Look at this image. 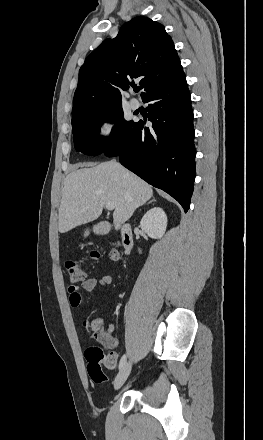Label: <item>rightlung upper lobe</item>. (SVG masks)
<instances>
[{
  "label": "right lung upper lobe",
  "mask_w": 263,
  "mask_h": 440,
  "mask_svg": "<svg viewBox=\"0 0 263 440\" xmlns=\"http://www.w3.org/2000/svg\"><path fill=\"white\" fill-rule=\"evenodd\" d=\"M180 71L174 43L163 25L147 17H135L120 28L114 39L103 41L81 66L73 119L122 106V91L133 85V79L141 78L143 97Z\"/></svg>",
  "instance_id": "cb5924a9"
}]
</instances>
